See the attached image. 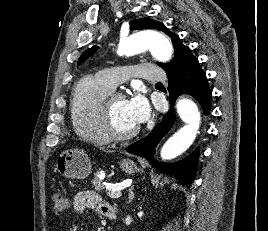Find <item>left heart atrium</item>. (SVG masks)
Here are the masks:
<instances>
[{
	"label": "left heart atrium",
	"mask_w": 268,
	"mask_h": 231,
	"mask_svg": "<svg viewBox=\"0 0 268 231\" xmlns=\"http://www.w3.org/2000/svg\"><path fill=\"white\" fill-rule=\"evenodd\" d=\"M127 102L128 107L137 124H140L147 120L150 115V108L146 99L142 95L136 94L127 100Z\"/></svg>",
	"instance_id": "obj_1"
}]
</instances>
